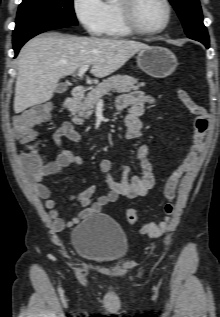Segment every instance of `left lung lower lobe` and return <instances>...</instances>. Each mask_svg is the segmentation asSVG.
<instances>
[{
    "label": "left lung lower lobe",
    "mask_w": 220,
    "mask_h": 317,
    "mask_svg": "<svg viewBox=\"0 0 220 317\" xmlns=\"http://www.w3.org/2000/svg\"><path fill=\"white\" fill-rule=\"evenodd\" d=\"M189 38L203 43L207 48L209 47V38H207V39H202V38H197V37H189Z\"/></svg>",
    "instance_id": "1"
}]
</instances>
